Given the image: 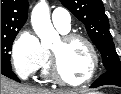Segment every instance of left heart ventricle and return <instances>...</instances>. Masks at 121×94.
I'll return each instance as SVG.
<instances>
[{
    "label": "left heart ventricle",
    "mask_w": 121,
    "mask_h": 94,
    "mask_svg": "<svg viewBox=\"0 0 121 94\" xmlns=\"http://www.w3.org/2000/svg\"><path fill=\"white\" fill-rule=\"evenodd\" d=\"M58 56L62 75L69 81H83L91 72L92 60L87 46L80 40L65 43L60 38L51 48Z\"/></svg>",
    "instance_id": "obj_1"
}]
</instances>
